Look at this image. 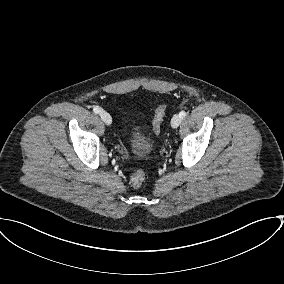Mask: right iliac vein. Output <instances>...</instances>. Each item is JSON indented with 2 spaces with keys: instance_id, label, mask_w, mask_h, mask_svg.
I'll return each instance as SVG.
<instances>
[{
  "instance_id": "right-iliac-vein-1",
  "label": "right iliac vein",
  "mask_w": 284,
  "mask_h": 284,
  "mask_svg": "<svg viewBox=\"0 0 284 284\" xmlns=\"http://www.w3.org/2000/svg\"><path fill=\"white\" fill-rule=\"evenodd\" d=\"M100 117L102 119V121L106 124V125H111L112 123V118L110 116L109 113H107L106 111H101L100 112Z\"/></svg>"
}]
</instances>
